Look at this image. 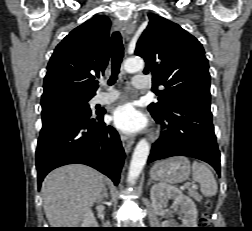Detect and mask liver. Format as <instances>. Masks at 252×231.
I'll list each match as a JSON object with an SVG mask.
<instances>
[{
    "label": "liver",
    "instance_id": "liver-1",
    "mask_svg": "<svg viewBox=\"0 0 252 231\" xmlns=\"http://www.w3.org/2000/svg\"><path fill=\"white\" fill-rule=\"evenodd\" d=\"M105 187L96 170L73 164L50 172L41 187L43 207L51 228H76Z\"/></svg>",
    "mask_w": 252,
    "mask_h": 231
}]
</instances>
